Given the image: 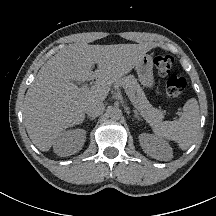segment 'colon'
Here are the masks:
<instances>
[{"label":"colon","mask_w":216,"mask_h":216,"mask_svg":"<svg viewBox=\"0 0 216 216\" xmlns=\"http://www.w3.org/2000/svg\"><path fill=\"white\" fill-rule=\"evenodd\" d=\"M155 67L165 79L166 92L172 99H179L185 92L186 81L183 77L172 73L174 59L170 55H158L155 60Z\"/></svg>","instance_id":"obj_1"}]
</instances>
